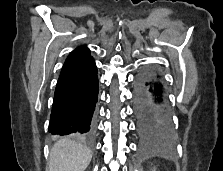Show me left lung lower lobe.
I'll use <instances>...</instances> for the list:
<instances>
[{
	"label": "left lung lower lobe",
	"mask_w": 223,
	"mask_h": 171,
	"mask_svg": "<svg viewBox=\"0 0 223 171\" xmlns=\"http://www.w3.org/2000/svg\"><path fill=\"white\" fill-rule=\"evenodd\" d=\"M134 111L137 133L144 144L169 141L173 128L165 89L155 69H145L136 78Z\"/></svg>",
	"instance_id": "left-lung-lower-lobe-1"
}]
</instances>
